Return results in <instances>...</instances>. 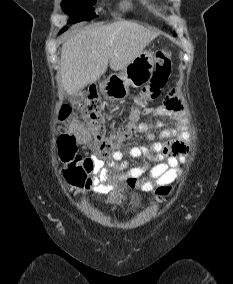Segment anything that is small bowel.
<instances>
[{
	"label": "small bowel",
	"instance_id": "obj_1",
	"mask_svg": "<svg viewBox=\"0 0 233 284\" xmlns=\"http://www.w3.org/2000/svg\"><path fill=\"white\" fill-rule=\"evenodd\" d=\"M183 111L182 100L175 89L170 90L160 105L144 110L145 115L160 119L154 125L140 123L135 126L146 134L152 144L149 147H133L128 157L121 151H115L107 162L92 157L93 173L82 188L86 191L111 192L125 181L130 186L151 191L156 186H167L174 182L182 174L181 166L185 164L189 153L187 137L180 123ZM163 119L177 121L179 126L163 129L161 140L154 141V132L162 127ZM74 129L82 142L87 141L88 132L84 126L78 124ZM147 158L156 164L150 165ZM135 159H141V164L137 165Z\"/></svg>",
	"mask_w": 233,
	"mask_h": 284
}]
</instances>
